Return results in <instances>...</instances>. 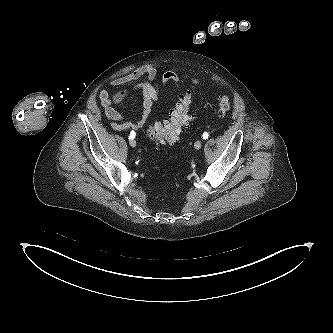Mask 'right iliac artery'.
<instances>
[{"mask_svg": "<svg viewBox=\"0 0 333 333\" xmlns=\"http://www.w3.org/2000/svg\"><path fill=\"white\" fill-rule=\"evenodd\" d=\"M134 138H135V133L131 132L130 135H129V139H134Z\"/></svg>", "mask_w": 333, "mask_h": 333, "instance_id": "right-iliac-artery-1", "label": "right iliac artery"}]
</instances>
